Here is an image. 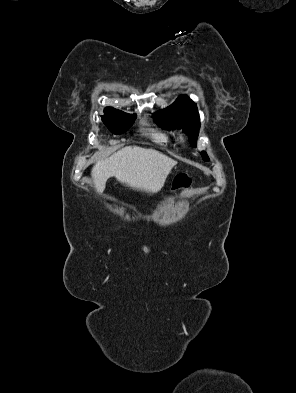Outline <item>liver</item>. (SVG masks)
<instances>
[{
    "mask_svg": "<svg viewBox=\"0 0 296 393\" xmlns=\"http://www.w3.org/2000/svg\"><path fill=\"white\" fill-rule=\"evenodd\" d=\"M177 161L154 149L125 147L111 157L99 160L91 175L96 191L103 193L106 181L115 177L128 187L157 193Z\"/></svg>",
    "mask_w": 296,
    "mask_h": 393,
    "instance_id": "6515ba94",
    "label": "liver"
}]
</instances>
